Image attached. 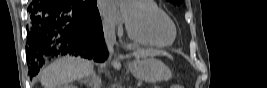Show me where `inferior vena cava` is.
Listing matches in <instances>:
<instances>
[{
  "mask_svg": "<svg viewBox=\"0 0 267 88\" xmlns=\"http://www.w3.org/2000/svg\"><path fill=\"white\" fill-rule=\"evenodd\" d=\"M104 38L106 41L107 49L110 52V55L113 53V47L116 41L115 37V26L111 24L103 25Z\"/></svg>",
  "mask_w": 267,
  "mask_h": 88,
  "instance_id": "1",
  "label": "inferior vena cava"
}]
</instances>
